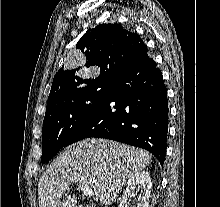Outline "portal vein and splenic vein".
I'll return each instance as SVG.
<instances>
[{"label": "portal vein and splenic vein", "instance_id": "obj_1", "mask_svg": "<svg viewBox=\"0 0 220 207\" xmlns=\"http://www.w3.org/2000/svg\"><path fill=\"white\" fill-rule=\"evenodd\" d=\"M65 187H68V183H66L64 185ZM78 189L81 190V192L83 193V195L91 197L94 195V191L90 188H88L86 185L84 184H78Z\"/></svg>", "mask_w": 220, "mask_h": 207}]
</instances>
